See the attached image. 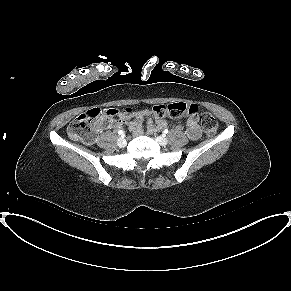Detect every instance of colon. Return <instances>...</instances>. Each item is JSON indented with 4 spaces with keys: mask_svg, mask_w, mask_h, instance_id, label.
<instances>
[{
    "mask_svg": "<svg viewBox=\"0 0 291 291\" xmlns=\"http://www.w3.org/2000/svg\"><path fill=\"white\" fill-rule=\"evenodd\" d=\"M197 107L193 104L174 103L167 106H155L151 115L155 118L181 115H197ZM133 112L127 108L122 112L115 109L92 108L79 115L68 126V134L72 139L85 143H92L99 130L100 122L105 118H115L120 115H131ZM201 126L208 136H213L218 129L216 119L210 113H202L200 116Z\"/></svg>",
    "mask_w": 291,
    "mask_h": 291,
    "instance_id": "colon-1",
    "label": "colon"
}]
</instances>
